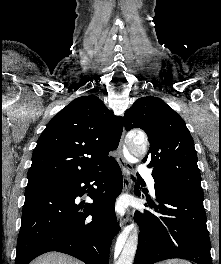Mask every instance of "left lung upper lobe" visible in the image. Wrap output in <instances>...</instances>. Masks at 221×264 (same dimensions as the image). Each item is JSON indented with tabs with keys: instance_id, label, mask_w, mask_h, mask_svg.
Wrapping results in <instances>:
<instances>
[{
	"instance_id": "obj_1",
	"label": "left lung upper lobe",
	"mask_w": 221,
	"mask_h": 264,
	"mask_svg": "<svg viewBox=\"0 0 221 264\" xmlns=\"http://www.w3.org/2000/svg\"><path fill=\"white\" fill-rule=\"evenodd\" d=\"M127 131L141 128L150 148L143 162L153 167L155 183L165 188L203 197L194 141L183 119L163 100L146 96L124 114Z\"/></svg>"
}]
</instances>
